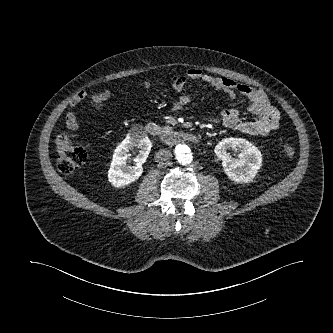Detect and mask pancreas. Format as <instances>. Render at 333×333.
I'll return each mask as SVG.
<instances>
[{
  "label": "pancreas",
  "instance_id": "cf45deb5",
  "mask_svg": "<svg viewBox=\"0 0 333 333\" xmlns=\"http://www.w3.org/2000/svg\"><path fill=\"white\" fill-rule=\"evenodd\" d=\"M164 129H165L166 131H170V130H171V128H170L169 126H166Z\"/></svg>",
  "mask_w": 333,
  "mask_h": 333
}]
</instances>
